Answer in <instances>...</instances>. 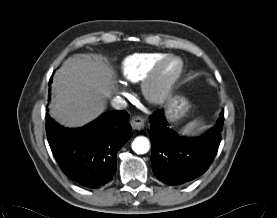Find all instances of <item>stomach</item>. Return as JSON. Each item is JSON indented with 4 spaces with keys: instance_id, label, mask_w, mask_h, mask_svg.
I'll use <instances>...</instances> for the list:
<instances>
[{
    "instance_id": "stomach-1",
    "label": "stomach",
    "mask_w": 277,
    "mask_h": 218,
    "mask_svg": "<svg viewBox=\"0 0 277 218\" xmlns=\"http://www.w3.org/2000/svg\"><path fill=\"white\" fill-rule=\"evenodd\" d=\"M189 102L183 96H174L165 107V114L169 122H176L186 115Z\"/></svg>"
}]
</instances>
